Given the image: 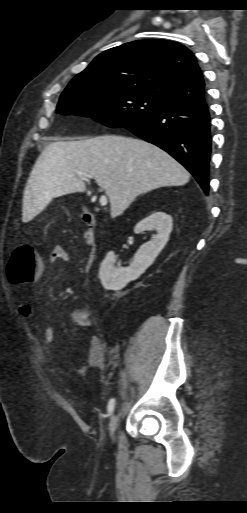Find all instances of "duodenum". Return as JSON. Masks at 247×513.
Listing matches in <instances>:
<instances>
[{
    "instance_id": "410a0bca",
    "label": "duodenum",
    "mask_w": 247,
    "mask_h": 513,
    "mask_svg": "<svg viewBox=\"0 0 247 513\" xmlns=\"http://www.w3.org/2000/svg\"><path fill=\"white\" fill-rule=\"evenodd\" d=\"M81 218H82L83 223L88 228L87 239H88L89 244L91 245L89 259L92 262H94L96 260V258H97V250H96V248L94 246V244H95L94 229H95V225H96L95 216L90 211L83 210L82 213H81Z\"/></svg>"
}]
</instances>
